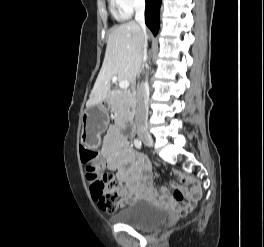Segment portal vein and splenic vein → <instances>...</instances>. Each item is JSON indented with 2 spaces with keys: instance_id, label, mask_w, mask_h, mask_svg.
<instances>
[{
  "instance_id": "obj_1",
  "label": "portal vein and splenic vein",
  "mask_w": 264,
  "mask_h": 247,
  "mask_svg": "<svg viewBox=\"0 0 264 247\" xmlns=\"http://www.w3.org/2000/svg\"><path fill=\"white\" fill-rule=\"evenodd\" d=\"M113 81H116V77L113 78ZM120 89H127L129 87V81L128 80H122L119 82Z\"/></svg>"
}]
</instances>
